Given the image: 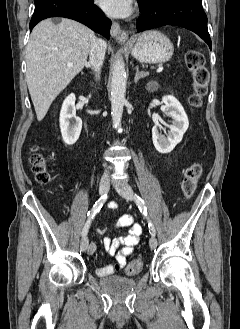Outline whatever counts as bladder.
I'll list each match as a JSON object with an SVG mask.
<instances>
[{
    "label": "bladder",
    "instance_id": "31cf9c89",
    "mask_svg": "<svg viewBox=\"0 0 240 329\" xmlns=\"http://www.w3.org/2000/svg\"><path fill=\"white\" fill-rule=\"evenodd\" d=\"M99 284L103 289L110 293L122 294L135 287L136 279L132 277L113 275L100 279Z\"/></svg>",
    "mask_w": 240,
    "mask_h": 329
}]
</instances>
